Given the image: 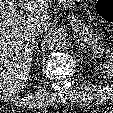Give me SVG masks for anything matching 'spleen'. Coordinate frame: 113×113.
Returning <instances> with one entry per match:
<instances>
[{
    "mask_svg": "<svg viewBox=\"0 0 113 113\" xmlns=\"http://www.w3.org/2000/svg\"><path fill=\"white\" fill-rule=\"evenodd\" d=\"M105 72L113 77V53L110 54L109 59L103 64Z\"/></svg>",
    "mask_w": 113,
    "mask_h": 113,
    "instance_id": "spleen-1",
    "label": "spleen"
}]
</instances>
